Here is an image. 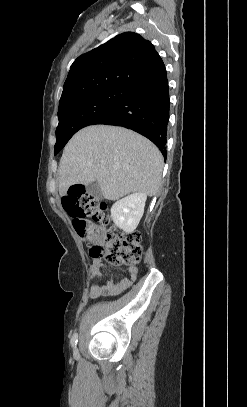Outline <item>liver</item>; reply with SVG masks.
<instances>
[{"label":"liver","instance_id":"liver-1","mask_svg":"<svg viewBox=\"0 0 247 407\" xmlns=\"http://www.w3.org/2000/svg\"><path fill=\"white\" fill-rule=\"evenodd\" d=\"M163 157L148 139L123 127L93 125L66 145L59 166V193L71 185L98 182L102 195L117 200L129 193L154 196L159 190Z\"/></svg>","mask_w":247,"mask_h":407}]
</instances>
